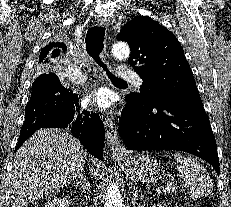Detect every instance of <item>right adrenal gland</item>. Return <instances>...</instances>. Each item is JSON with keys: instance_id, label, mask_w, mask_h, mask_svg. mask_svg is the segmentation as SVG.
Here are the masks:
<instances>
[{"instance_id": "1", "label": "right adrenal gland", "mask_w": 231, "mask_h": 207, "mask_svg": "<svg viewBox=\"0 0 231 207\" xmlns=\"http://www.w3.org/2000/svg\"><path fill=\"white\" fill-rule=\"evenodd\" d=\"M74 186L75 187L81 186L80 188L83 190L84 194L86 193V191L90 190V183L88 182L86 175L83 173V170H81L78 173V180L76 183L74 182Z\"/></svg>"}]
</instances>
